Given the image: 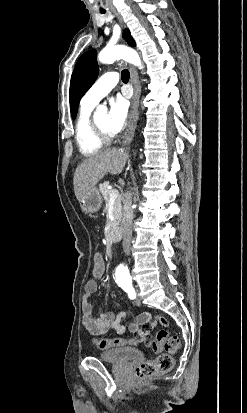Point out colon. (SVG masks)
<instances>
[{"label": "colon", "mask_w": 247, "mask_h": 413, "mask_svg": "<svg viewBox=\"0 0 247 413\" xmlns=\"http://www.w3.org/2000/svg\"><path fill=\"white\" fill-rule=\"evenodd\" d=\"M104 257L102 252L92 257V275L100 276L105 271V264L101 262ZM157 337L153 339L154 346L152 353L157 356L155 360L146 362L139 366L135 372V381H152L153 376L169 372L173 367V357L163 353L164 344L171 342L173 349L168 351L169 355H180L181 348L179 339L176 336L169 337L168 332H156ZM139 340L114 338L112 340H95L94 344L98 349H106L115 346H136Z\"/></svg>", "instance_id": "5ec220e1"}]
</instances>
